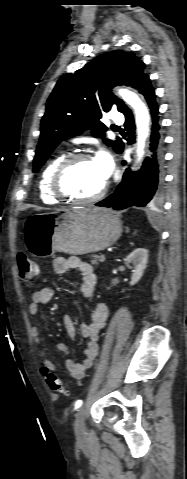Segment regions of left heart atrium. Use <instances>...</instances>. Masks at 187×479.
<instances>
[{"label":"left heart atrium","instance_id":"1","mask_svg":"<svg viewBox=\"0 0 187 479\" xmlns=\"http://www.w3.org/2000/svg\"><path fill=\"white\" fill-rule=\"evenodd\" d=\"M93 160L102 177L107 180L112 174L114 168L111 156L106 151L102 150L93 158Z\"/></svg>","mask_w":187,"mask_h":479}]
</instances>
